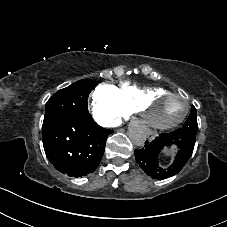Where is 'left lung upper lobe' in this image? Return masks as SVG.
<instances>
[{"label": "left lung upper lobe", "instance_id": "5c2ea615", "mask_svg": "<svg viewBox=\"0 0 227 227\" xmlns=\"http://www.w3.org/2000/svg\"><path fill=\"white\" fill-rule=\"evenodd\" d=\"M196 115H197L196 108L192 106L188 119L180 129L183 131H190V132L197 133L198 124H197Z\"/></svg>", "mask_w": 227, "mask_h": 227}]
</instances>
